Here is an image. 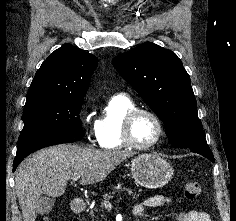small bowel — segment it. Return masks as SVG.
<instances>
[{
  "mask_svg": "<svg viewBox=\"0 0 236 221\" xmlns=\"http://www.w3.org/2000/svg\"><path fill=\"white\" fill-rule=\"evenodd\" d=\"M170 202L171 199L163 195L146 198L134 206V215L141 217L146 209L162 207ZM177 221H211V219L209 214L205 211L190 210L179 212Z\"/></svg>",
  "mask_w": 236,
  "mask_h": 221,
  "instance_id": "small-bowel-1",
  "label": "small bowel"
}]
</instances>
